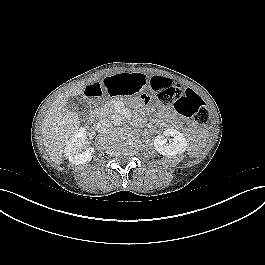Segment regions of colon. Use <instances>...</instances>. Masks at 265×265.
I'll list each match as a JSON object with an SVG mask.
<instances>
[{"mask_svg": "<svg viewBox=\"0 0 265 265\" xmlns=\"http://www.w3.org/2000/svg\"><path fill=\"white\" fill-rule=\"evenodd\" d=\"M152 88L155 98L162 105H173L179 114L193 117L204 128L211 126V117L205 102L193 90L185 89L180 84L164 77H154ZM143 98L146 103L154 100L150 94H145Z\"/></svg>", "mask_w": 265, "mask_h": 265, "instance_id": "colon-1", "label": "colon"}]
</instances>
